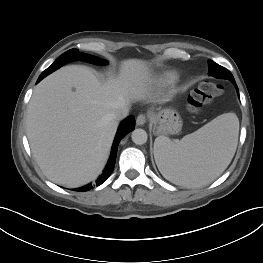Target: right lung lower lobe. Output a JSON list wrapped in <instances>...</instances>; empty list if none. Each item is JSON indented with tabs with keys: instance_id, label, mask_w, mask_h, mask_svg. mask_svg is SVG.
<instances>
[{
	"instance_id": "98d812e1",
	"label": "right lung lower lobe",
	"mask_w": 263,
	"mask_h": 263,
	"mask_svg": "<svg viewBox=\"0 0 263 263\" xmlns=\"http://www.w3.org/2000/svg\"><path fill=\"white\" fill-rule=\"evenodd\" d=\"M62 65L61 63H53L50 67H48L45 71L42 72L40 77L37 80V83L40 82L44 77L55 71L56 69L60 68ZM135 128V119L133 116H130L126 118L120 125L118 132L116 134L113 147H112V152L111 156L109 159V162L103 171V174L97 179V186L101 185L103 182L106 181V179L110 176L112 173L114 166H115V161H116V155H117V148L120 140L124 138L130 131H132ZM92 188L91 184H88L86 186H83L81 188L74 189L75 191H88Z\"/></svg>"
}]
</instances>
